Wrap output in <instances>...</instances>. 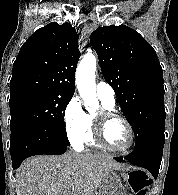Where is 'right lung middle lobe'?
<instances>
[{
	"label": "right lung middle lobe",
	"mask_w": 178,
	"mask_h": 195,
	"mask_svg": "<svg viewBox=\"0 0 178 195\" xmlns=\"http://www.w3.org/2000/svg\"><path fill=\"white\" fill-rule=\"evenodd\" d=\"M73 95L28 91L10 96V129L38 131L54 129L67 138L64 125L65 109Z\"/></svg>",
	"instance_id": "right-lung-middle-lobe-1"
}]
</instances>
